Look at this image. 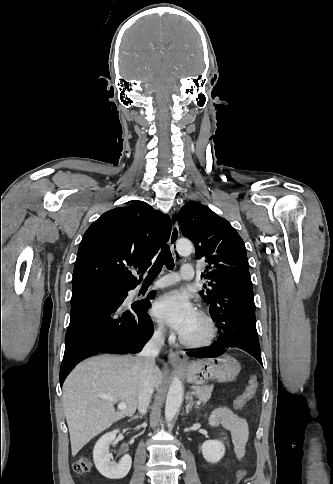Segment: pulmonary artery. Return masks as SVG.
Masks as SVG:
<instances>
[{"label": "pulmonary artery", "instance_id": "1", "mask_svg": "<svg viewBox=\"0 0 333 484\" xmlns=\"http://www.w3.org/2000/svg\"><path fill=\"white\" fill-rule=\"evenodd\" d=\"M194 277V266L190 263L183 264L180 270V274L175 273L167 274L163 276L160 280L155 282L148 290H154L159 288L168 287L174 285L180 279L190 280Z\"/></svg>", "mask_w": 333, "mask_h": 484}]
</instances>
